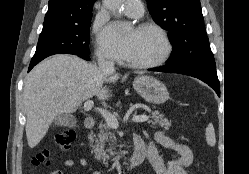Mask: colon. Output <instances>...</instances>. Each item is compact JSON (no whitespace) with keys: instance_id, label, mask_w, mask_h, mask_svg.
<instances>
[{"instance_id":"5ec220e1","label":"colon","mask_w":249,"mask_h":174,"mask_svg":"<svg viewBox=\"0 0 249 174\" xmlns=\"http://www.w3.org/2000/svg\"><path fill=\"white\" fill-rule=\"evenodd\" d=\"M75 132L71 129L64 130L56 135L55 146L60 151L68 150L75 140ZM54 152L52 150H45L36 154L32 163L35 166L47 165L53 160Z\"/></svg>"}]
</instances>
